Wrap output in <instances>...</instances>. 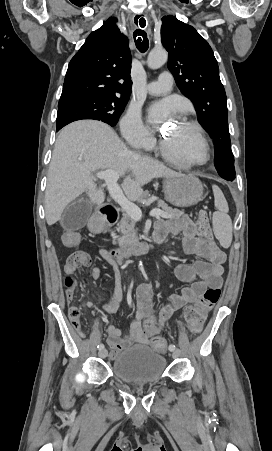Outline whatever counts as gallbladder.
Here are the masks:
<instances>
[{
  "label": "gallbladder",
  "mask_w": 272,
  "mask_h": 451,
  "mask_svg": "<svg viewBox=\"0 0 272 451\" xmlns=\"http://www.w3.org/2000/svg\"><path fill=\"white\" fill-rule=\"evenodd\" d=\"M92 210L93 206L87 198L75 200L65 208L60 224L64 229H80L86 226Z\"/></svg>",
  "instance_id": "1"
}]
</instances>
